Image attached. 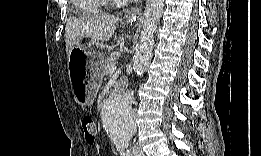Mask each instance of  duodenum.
I'll list each match as a JSON object with an SVG mask.
<instances>
[{
    "mask_svg": "<svg viewBox=\"0 0 261 156\" xmlns=\"http://www.w3.org/2000/svg\"><path fill=\"white\" fill-rule=\"evenodd\" d=\"M118 85H119V86H123V85H124V83H119Z\"/></svg>",
    "mask_w": 261,
    "mask_h": 156,
    "instance_id": "duodenum-1",
    "label": "duodenum"
}]
</instances>
